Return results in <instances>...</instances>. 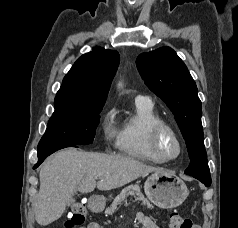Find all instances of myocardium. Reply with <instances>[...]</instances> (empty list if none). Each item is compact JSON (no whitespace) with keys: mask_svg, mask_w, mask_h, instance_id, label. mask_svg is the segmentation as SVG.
<instances>
[{"mask_svg":"<svg viewBox=\"0 0 238 228\" xmlns=\"http://www.w3.org/2000/svg\"><path fill=\"white\" fill-rule=\"evenodd\" d=\"M168 134L176 143L178 151L177 154L173 157H166L162 154L160 149V141L163 135ZM149 146L152 153L159 158L162 162H170L178 159L183 152V143L176 132V130L169 125L168 123L162 121L156 125H154L151 129L149 136Z\"/></svg>","mask_w":238,"mask_h":228,"instance_id":"obj_1","label":"myocardium"}]
</instances>
